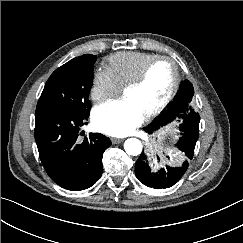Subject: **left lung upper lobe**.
Wrapping results in <instances>:
<instances>
[{
	"mask_svg": "<svg viewBox=\"0 0 243 243\" xmlns=\"http://www.w3.org/2000/svg\"><path fill=\"white\" fill-rule=\"evenodd\" d=\"M194 94V89L190 81L185 80L178 91L175 101L171 106L161 115L158 119L154 120V123H157L158 126H163L169 121V117H176L172 114L175 113V107L177 104L188 103L192 100Z\"/></svg>",
	"mask_w": 243,
	"mask_h": 243,
	"instance_id": "5c2ea615",
	"label": "left lung upper lobe"
}]
</instances>
